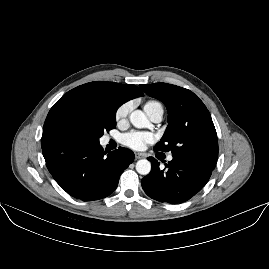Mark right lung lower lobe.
Masks as SVG:
<instances>
[{
  "instance_id": "98d812e1",
  "label": "right lung lower lobe",
  "mask_w": 269,
  "mask_h": 269,
  "mask_svg": "<svg viewBox=\"0 0 269 269\" xmlns=\"http://www.w3.org/2000/svg\"><path fill=\"white\" fill-rule=\"evenodd\" d=\"M47 168L55 181L71 196L93 201L110 195L122 172L133 162L134 153L119 147L108 153L100 143H80L64 132L42 137Z\"/></svg>"
}]
</instances>
